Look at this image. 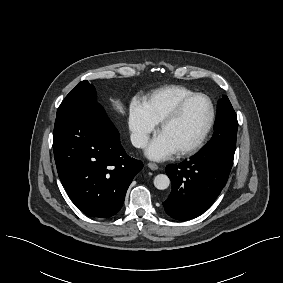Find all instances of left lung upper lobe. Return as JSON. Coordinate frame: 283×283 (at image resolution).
<instances>
[{"label":"left lung upper lobe","mask_w":283,"mask_h":283,"mask_svg":"<svg viewBox=\"0 0 283 283\" xmlns=\"http://www.w3.org/2000/svg\"><path fill=\"white\" fill-rule=\"evenodd\" d=\"M238 122L235 111L224 96L218 101L217 116L214 124L213 136L205 146H219L235 152Z\"/></svg>","instance_id":"5c2ea615"}]
</instances>
